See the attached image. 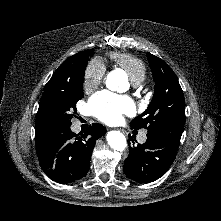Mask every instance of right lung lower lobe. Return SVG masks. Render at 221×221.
<instances>
[{"label": "right lung lower lobe", "mask_w": 221, "mask_h": 221, "mask_svg": "<svg viewBox=\"0 0 221 221\" xmlns=\"http://www.w3.org/2000/svg\"><path fill=\"white\" fill-rule=\"evenodd\" d=\"M105 133L100 124H92L82 134L73 133L70 126L51 132L38 154L42 170L61 184L81 179L89 170L96 140Z\"/></svg>", "instance_id": "right-lung-lower-lobe-1"}]
</instances>
